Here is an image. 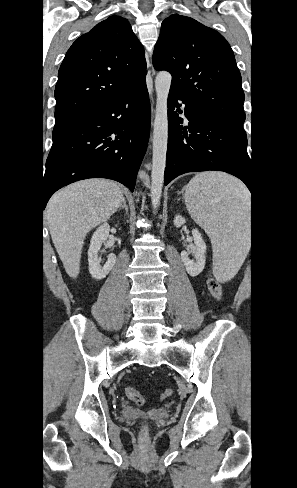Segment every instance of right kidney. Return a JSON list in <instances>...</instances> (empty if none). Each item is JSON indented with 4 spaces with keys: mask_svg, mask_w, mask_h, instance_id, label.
Listing matches in <instances>:
<instances>
[{
    "mask_svg": "<svg viewBox=\"0 0 297 488\" xmlns=\"http://www.w3.org/2000/svg\"><path fill=\"white\" fill-rule=\"evenodd\" d=\"M110 226L108 223L102 224L97 230L94 232L90 247L88 250V263H89V272L94 279H103L108 275V273L112 270L116 263V256L115 254L111 253L108 255L107 262L103 267L99 265V257L98 252L102 246V243L105 242L109 236Z\"/></svg>",
    "mask_w": 297,
    "mask_h": 488,
    "instance_id": "right-kidney-1",
    "label": "right kidney"
}]
</instances>
